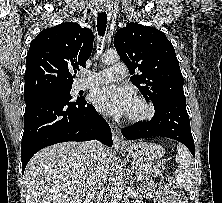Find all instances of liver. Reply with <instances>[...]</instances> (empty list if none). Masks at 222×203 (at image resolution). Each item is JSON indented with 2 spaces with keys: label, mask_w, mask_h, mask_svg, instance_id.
Segmentation results:
<instances>
[{
  "label": "liver",
  "mask_w": 222,
  "mask_h": 203,
  "mask_svg": "<svg viewBox=\"0 0 222 203\" xmlns=\"http://www.w3.org/2000/svg\"><path fill=\"white\" fill-rule=\"evenodd\" d=\"M100 156L108 168L112 152L100 144ZM94 164L85 142H63L36 153L24 171L30 203H71L89 189Z\"/></svg>",
  "instance_id": "liver-1"
}]
</instances>
